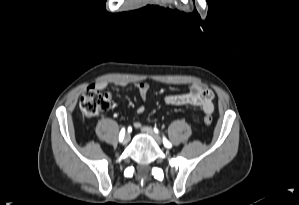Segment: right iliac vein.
I'll list each match as a JSON object with an SVG mask.
<instances>
[{
    "instance_id": "obj_1",
    "label": "right iliac vein",
    "mask_w": 299,
    "mask_h": 205,
    "mask_svg": "<svg viewBox=\"0 0 299 205\" xmlns=\"http://www.w3.org/2000/svg\"><path fill=\"white\" fill-rule=\"evenodd\" d=\"M130 141V135L126 134L122 140L123 144H127Z\"/></svg>"
}]
</instances>
